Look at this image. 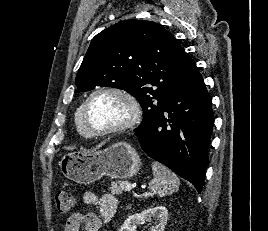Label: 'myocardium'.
<instances>
[{
    "instance_id": "myocardium-1",
    "label": "myocardium",
    "mask_w": 268,
    "mask_h": 231,
    "mask_svg": "<svg viewBox=\"0 0 268 231\" xmlns=\"http://www.w3.org/2000/svg\"><path fill=\"white\" fill-rule=\"evenodd\" d=\"M100 94H111L122 99L128 106V116L126 120L117 125L103 130H94L88 123L87 110L90 102L94 97ZM82 121L89 137H105L122 134L134 128L140 121L142 116L141 106L138 100L130 92L118 87H101L91 92L85 99L81 107Z\"/></svg>"
}]
</instances>
